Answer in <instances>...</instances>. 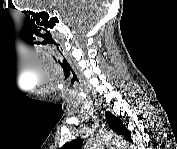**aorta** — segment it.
<instances>
[{"label": "aorta", "mask_w": 177, "mask_h": 149, "mask_svg": "<svg viewBox=\"0 0 177 149\" xmlns=\"http://www.w3.org/2000/svg\"><path fill=\"white\" fill-rule=\"evenodd\" d=\"M114 141L119 142V138L113 137L107 134L100 135L94 138L89 144H87L85 148L86 149H104L106 145ZM120 142L124 145L123 148L127 147L125 146V142H123V140H120Z\"/></svg>", "instance_id": "aorta-1"}]
</instances>
